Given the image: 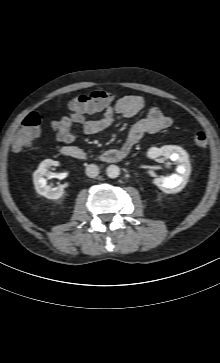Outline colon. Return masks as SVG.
I'll list each match as a JSON object with an SVG mask.
<instances>
[{
	"mask_svg": "<svg viewBox=\"0 0 220 363\" xmlns=\"http://www.w3.org/2000/svg\"><path fill=\"white\" fill-rule=\"evenodd\" d=\"M116 93L99 90L89 95H77L71 102V107H80L87 97L96 100L101 105H106L116 98ZM43 122V115L38 112L29 113L21 122L16 135L12 141V148L20 151L28 147L33 140L39 135L40 127ZM194 142L199 147H205L208 144V136L205 132L199 131L194 135Z\"/></svg>",
	"mask_w": 220,
	"mask_h": 363,
	"instance_id": "obj_1",
	"label": "colon"
}]
</instances>
